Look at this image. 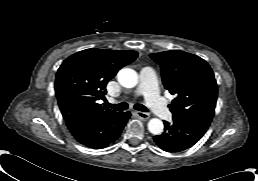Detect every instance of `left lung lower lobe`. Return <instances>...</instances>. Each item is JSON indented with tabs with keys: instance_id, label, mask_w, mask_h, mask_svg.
<instances>
[{
	"instance_id": "left-lung-lower-lobe-1",
	"label": "left lung lower lobe",
	"mask_w": 258,
	"mask_h": 181,
	"mask_svg": "<svg viewBox=\"0 0 258 181\" xmlns=\"http://www.w3.org/2000/svg\"><path fill=\"white\" fill-rule=\"evenodd\" d=\"M164 126V132L154 136V141L167 152H180L193 146L208 129L202 124L175 118L172 124L165 121Z\"/></svg>"
}]
</instances>
